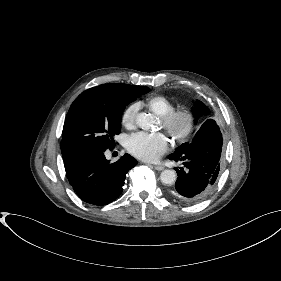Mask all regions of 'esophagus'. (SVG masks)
<instances>
[{
  "mask_svg": "<svg viewBox=\"0 0 281 281\" xmlns=\"http://www.w3.org/2000/svg\"><path fill=\"white\" fill-rule=\"evenodd\" d=\"M154 169L158 170V171H162L164 170V167L163 166H158V165H155V166H152Z\"/></svg>",
  "mask_w": 281,
  "mask_h": 281,
  "instance_id": "34e87169",
  "label": "esophagus"
}]
</instances>
